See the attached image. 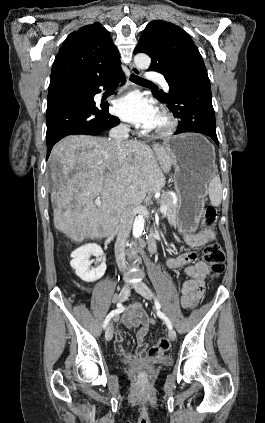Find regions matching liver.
<instances>
[{
    "label": "liver",
    "mask_w": 265,
    "mask_h": 423,
    "mask_svg": "<svg viewBox=\"0 0 265 423\" xmlns=\"http://www.w3.org/2000/svg\"><path fill=\"white\" fill-rule=\"evenodd\" d=\"M49 162L57 188L51 193L54 226L74 241L109 236L127 206L164 187L172 165L165 146L154 144L152 150L132 140L120 156L110 140L86 135L62 139Z\"/></svg>",
    "instance_id": "liver-1"
}]
</instances>
